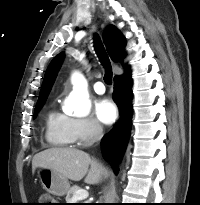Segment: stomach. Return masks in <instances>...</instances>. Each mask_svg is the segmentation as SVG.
I'll return each instance as SVG.
<instances>
[{
    "label": "stomach",
    "mask_w": 200,
    "mask_h": 205,
    "mask_svg": "<svg viewBox=\"0 0 200 205\" xmlns=\"http://www.w3.org/2000/svg\"><path fill=\"white\" fill-rule=\"evenodd\" d=\"M38 177L43 188L55 196H64L70 188L68 179L52 169L39 167Z\"/></svg>",
    "instance_id": "0dacf381"
}]
</instances>
